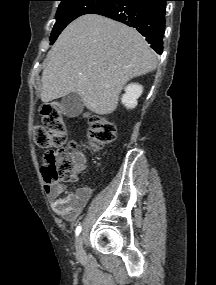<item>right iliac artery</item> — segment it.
<instances>
[{
  "mask_svg": "<svg viewBox=\"0 0 216 285\" xmlns=\"http://www.w3.org/2000/svg\"><path fill=\"white\" fill-rule=\"evenodd\" d=\"M81 229H82L81 226H77V228H76V230H75L76 236H78V235L80 234Z\"/></svg>",
  "mask_w": 216,
  "mask_h": 285,
  "instance_id": "82829eb1",
  "label": "right iliac artery"
}]
</instances>
